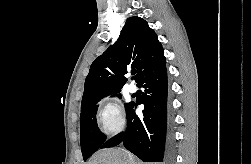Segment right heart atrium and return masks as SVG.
Here are the masks:
<instances>
[{
	"label": "right heart atrium",
	"mask_w": 251,
	"mask_h": 164,
	"mask_svg": "<svg viewBox=\"0 0 251 164\" xmlns=\"http://www.w3.org/2000/svg\"><path fill=\"white\" fill-rule=\"evenodd\" d=\"M97 121L107 137H114L125 127L126 117L121 105L115 100H106L97 110Z\"/></svg>",
	"instance_id": "right-heart-atrium-1"
}]
</instances>
